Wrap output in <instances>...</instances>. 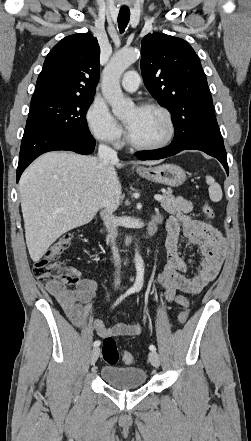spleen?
<instances>
[{
	"label": "spleen",
	"instance_id": "3e777b00",
	"mask_svg": "<svg viewBox=\"0 0 251 441\" xmlns=\"http://www.w3.org/2000/svg\"><path fill=\"white\" fill-rule=\"evenodd\" d=\"M206 182L209 185V197L213 202H219L222 199V189L221 186L215 182L212 176H206Z\"/></svg>",
	"mask_w": 251,
	"mask_h": 441
}]
</instances>
